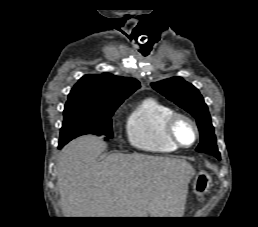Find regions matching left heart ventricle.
Wrapping results in <instances>:
<instances>
[{"label":"left heart ventricle","mask_w":258,"mask_h":227,"mask_svg":"<svg viewBox=\"0 0 258 227\" xmlns=\"http://www.w3.org/2000/svg\"><path fill=\"white\" fill-rule=\"evenodd\" d=\"M175 133L179 141L185 145L191 144L194 140V130L192 126L184 120L177 122Z\"/></svg>","instance_id":"1"}]
</instances>
